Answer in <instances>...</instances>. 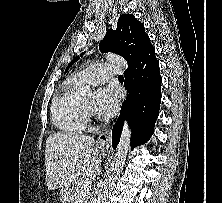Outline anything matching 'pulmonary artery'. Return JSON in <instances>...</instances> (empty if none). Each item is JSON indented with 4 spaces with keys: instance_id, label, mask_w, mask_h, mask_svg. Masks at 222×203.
I'll return each instance as SVG.
<instances>
[{
    "instance_id": "pulmonary-artery-1",
    "label": "pulmonary artery",
    "mask_w": 222,
    "mask_h": 203,
    "mask_svg": "<svg viewBox=\"0 0 222 203\" xmlns=\"http://www.w3.org/2000/svg\"><path fill=\"white\" fill-rule=\"evenodd\" d=\"M121 73V68L115 64L100 63L89 66L76 73L74 79L81 84L97 85L104 83L111 77L120 75Z\"/></svg>"
}]
</instances>
